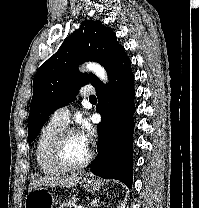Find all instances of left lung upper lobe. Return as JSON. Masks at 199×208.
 Here are the masks:
<instances>
[{"label": "left lung upper lobe", "mask_w": 199, "mask_h": 208, "mask_svg": "<svg viewBox=\"0 0 199 208\" xmlns=\"http://www.w3.org/2000/svg\"><path fill=\"white\" fill-rule=\"evenodd\" d=\"M125 57L124 47L117 42L110 27L100 21L82 22L34 76L28 117L29 141L37 137L50 114L73 101L80 87L88 83L96 87L101 83L95 75L80 73L77 70L80 63L99 62L109 75Z\"/></svg>", "instance_id": "5c2ea615"}]
</instances>
